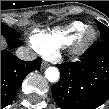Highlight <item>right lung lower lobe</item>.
Here are the masks:
<instances>
[{
	"label": "right lung lower lobe",
	"instance_id": "right-lung-lower-lobe-1",
	"mask_svg": "<svg viewBox=\"0 0 109 109\" xmlns=\"http://www.w3.org/2000/svg\"><path fill=\"white\" fill-rule=\"evenodd\" d=\"M1 35L6 38L10 47H17L22 44L19 38ZM40 66L41 58L27 62L20 60L9 51H1V109L14 100L27 74L39 69Z\"/></svg>",
	"mask_w": 109,
	"mask_h": 109
}]
</instances>
